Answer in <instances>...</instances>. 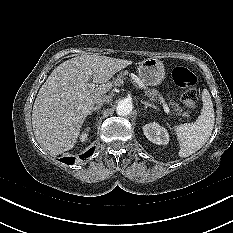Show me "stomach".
Listing matches in <instances>:
<instances>
[{"instance_id": "0dacf381", "label": "stomach", "mask_w": 233, "mask_h": 233, "mask_svg": "<svg viewBox=\"0 0 233 233\" xmlns=\"http://www.w3.org/2000/svg\"><path fill=\"white\" fill-rule=\"evenodd\" d=\"M138 74L145 84L155 86L165 78V67L159 59L147 58L140 63Z\"/></svg>"}]
</instances>
